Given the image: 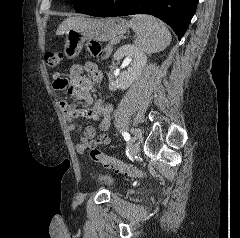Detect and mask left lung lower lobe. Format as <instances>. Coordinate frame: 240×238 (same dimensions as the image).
I'll use <instances>...</instances> for the list:
<instances>
[{
	"label": "left lung lower lobe",
	"mask_w": 240,
	"mask_h": 238,
	"mask_svg": "<svg viewBox=\"0 0 240 238\" xmlns=\"http://www.w3.org/2000/svg\"><path fill=\"white\" fill-rule=\"evenodd\" d=\"M198 0H97L80 13L95 17L150 14L166 22L179 40L185 34Z\"/></svg>",
	"instance_id": "left-lung-lower-lobe-1"
}]
</instances>
